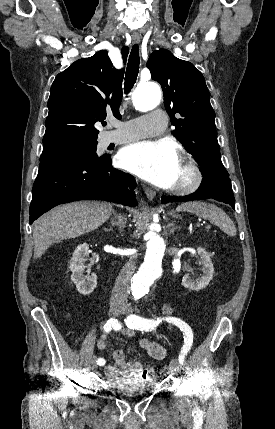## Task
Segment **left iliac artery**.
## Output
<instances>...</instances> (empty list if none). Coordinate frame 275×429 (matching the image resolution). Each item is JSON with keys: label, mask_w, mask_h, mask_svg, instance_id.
Instances as JSON below:
<instances>
[{"label": "left iliac artery", "mask_w": 275, "mask_h": 429, "mask_svg": "<svg viewBox=\"0 0 275 429\" xmlns=\"http://www.w3.org/2000/svg\"><path fill=\"white\" fill-rule=\"evenodd\" d=\"M165 320L169 323H172L176 325L184 335V345L182 347L181 353L179 355V362L180 364H183L184 358L189 352L192 343H193V332L191 327L185 323L183 320L176 318V317H168V318H158L157 320H151V319H145L138 315H130L125 320L126 325L129 328L137 329V330H153L156 328V326L162 321Z\"/></svg>", "instance_id": "1"}]
</instances>
